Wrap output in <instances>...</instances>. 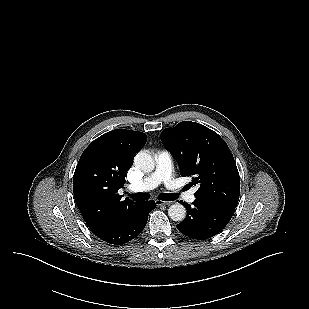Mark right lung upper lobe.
Returning a JSON list of instances; mask_svg holds the SVG:
<instances>
[{
  "mask_svg": "<svg viewBox=\"0 0 309 309\" xmlns=\"http://www.w3.org/2000/svg\"><path fill=\"white\" fill-rule=\"evenodd\" d=\"M142 132L116 129L95 139L82 153L73 176L76 204L91 231L98 235L131 206L118 190L135 154L145 145Z\"/></svg>",
  "mask_w": 309,
  "mask_h": 309,
  "instance_id": "cb5924a9",
  "label": "right lung upper lobe"
}]
</instances>
